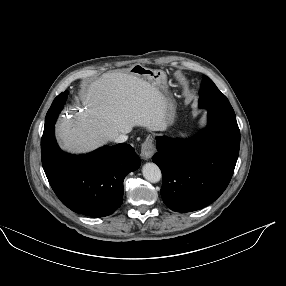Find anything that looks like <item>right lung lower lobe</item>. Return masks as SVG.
<instances>
[{
    "label": "right lung lower lobe",
    "instance_id": "obj_1",
    "mask_svg": "<svg viewBox=\"0 0 286 286\" xmlns=\"http://www.w3.org/2000/svg\"><path fill=\"white\" fill-rule=\"evenodd\" d=\"M42 165L61 202L91 217L112 214L123 201V180L140 166V158L126 143L104 146L84 155H71L57 145L54 124L44 127Z\"/></svg>",
    "mask_w": 286,
    "mask_h": 286
}]
</instances>
